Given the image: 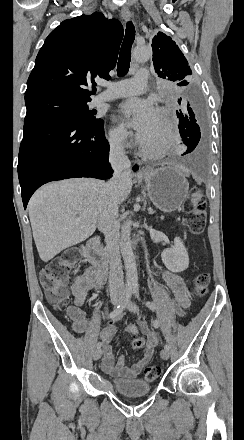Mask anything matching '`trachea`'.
<instances>
[{"label":"trachea","mask_w":244,"mask_h":440,"mask_svg":"<svg viewBox=\"0 0 244 440\" xmlns=\"http://www.w3.org/2000/svg\"><path fill=\"white\" fill-rule=\"evenodd\" d=\"M135 39V27L132 22H128L126 25V33L124 37V41L122 43L118 65H117V73L119 76L126 75L129 70L130 61H131V47L133 45V41Z\"/></svg>","instance_id":"3493384b"}]
</instances>
